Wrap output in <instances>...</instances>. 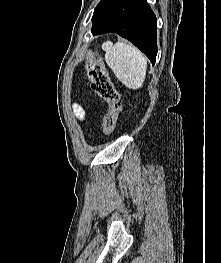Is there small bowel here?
<instances>
[{
    "label": "small bowel",
    "instance_id": "1",
    "mask_svg": "<svg viewBox=\"0 0 221 263\" xmlns=\"http://www.w3.org/2000/svg\"><path fill=\"white\" fill-rule=\"evenodd\" d=\"M74 112H75V115L79 118V119H83L84 118V111L81 107L79 106H76L74 108Z\"/></svg>",
    "mask_w": 221,
    "mask_h": 263
}]
</instances>
